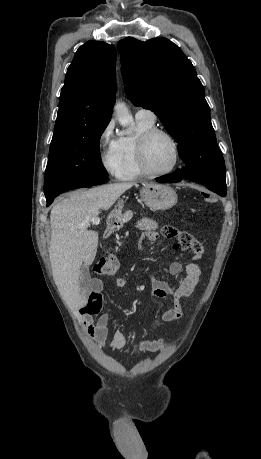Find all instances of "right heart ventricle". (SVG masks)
I'll list each match as a JSON object with an SVG mask.
<instances>
[{
	"label": "right heart ventricle",
	"mask_w": 261,
	"mask_h": 459,
	"mask_svg": "<svg viewBox=\"0 0 261 459\" xmlns=\"http://www.w3.org/2000/svg\"><path fill=\"white\" fill-rule=\"evenodd\" d=\"M154 127L155 121L136 118L135 133L117 139V150L120 158L118 178L132 180L143 175L137 160V140L142 133Z\"/></svg>",
	"instance_id": "right-heart-ventricle-1"
}]
</instances>
